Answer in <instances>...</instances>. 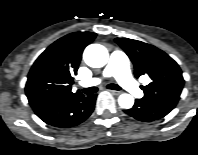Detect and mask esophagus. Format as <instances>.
<instances>
[{"instance_id": "obj_1", "label": "esophagus", "mask_w": 198, "mask_h": 155, "mask_svg": "<svg viewBox=\"0 0 198 155\" xmlns=\"http://www.w3.org/2000/svg\"><path fill=\"white\" fill-rule=\"evenodd\" d=\"M110 92L114 95H120L121 91H116V90H110Z\"/></svg>"}]
</instances>
